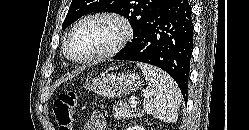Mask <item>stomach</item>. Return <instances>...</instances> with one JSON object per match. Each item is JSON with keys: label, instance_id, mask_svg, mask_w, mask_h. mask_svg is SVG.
Wrapping results in <instances>:
<instances>
[{"label": "stomach", "instance_id": "0dacf381", "mask_svg": "<svg viewBox=\"0 0 249 130\" xmlns=\"http://www.w3.org/2000/svg\"><path fill=\"white\" fill-rule=\"evenodd\" d=\"M142 85L139 75L131 72L104 73L86 82L85 88L105 97L115 98L135 92Z\"/></svg>", "mask_w": 249, "mask_h": 130}]
</instances>
